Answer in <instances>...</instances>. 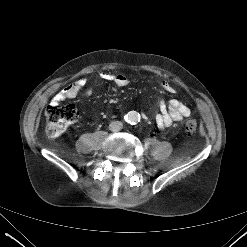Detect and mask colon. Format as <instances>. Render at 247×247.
<instances>
[{"label":"colon","mask_w":247,"mask_h":247,"mask_svg":"<svg viewBox=\"0 0 247 247\" xmlns=\"http://www.w3.org/2000/svg\"><path fill=\"white\" fill-rule=\"evenodd\" d=\"M45 132L48 137L55 138L61 135L78 117V111L73 104L59 105L51 103L45 111ZM198 122L189 118L185 130L193 134L197 130Z\"/></svg>","instance_id":"obj_1"}]
</instances>
